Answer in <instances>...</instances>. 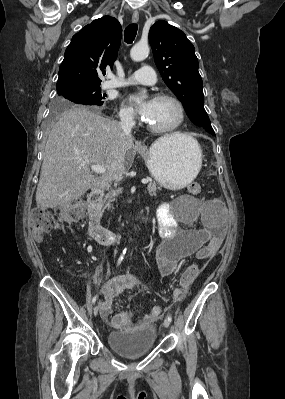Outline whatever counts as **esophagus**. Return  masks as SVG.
<instances>
[{
  "mask_svg": "<svg viewBox=\"0 0 285 399\" xmlns=\"http://www.w3.org/2000/svg\"><path fill=\"white\" fill-rule=\"evenodd\" d=\"M138 20H139V12H138V11H135V12L133 13V15H132V22H133V23H137Z\"/></svg>",
  "mask_w": 285,
  "mask_h": 399,
  "instance_id": "1",
  "label": "esophagus"
}]
</instances>
